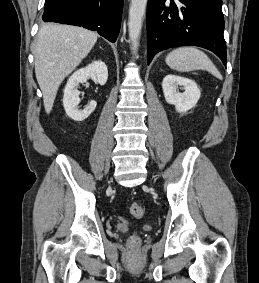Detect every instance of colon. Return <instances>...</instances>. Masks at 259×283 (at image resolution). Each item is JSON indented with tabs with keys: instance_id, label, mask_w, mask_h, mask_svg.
Returning <instances> with one entry per match:
<instances>
[{
	"instance_id": "obj_1",
	"label": "colon",
	"mask_w": 259,
	"mask_h": 283,
	"mask_svg": "<svg viewBox=\"0 0 259 283\" xmlns=\"http://www.w3.org/2000/svg\"><path fill=\"white\" fill-rule=\"evenodd\" d=\"M131 214L136 218H141L145 213V208L141 203L134 202L130 206ZM140 243V238L138 235H132L129 238V244L131 246H137Z\"/></svg>"
}]
</instances>
